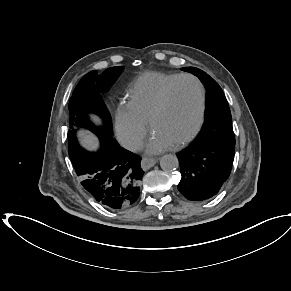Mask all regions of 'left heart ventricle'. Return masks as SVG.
<instances>
[{
  "label": "left heart ventricle",
  "instance_id": "obj_1",
  "mask_svg": "<svg viewBox=\"0 0 291 291\" xmlns=\"http://www.w3.org/2000/svg\"><path fill=\"white\" fill-rule=\"evenodd\" d=\"M198 114V87L192 80H182L171 92L166 109L155 120L153 132L175 144L193 130Z\"/></svg>",
  "mask_w": 291,
  "mask_h": 291
}]
</instances>
